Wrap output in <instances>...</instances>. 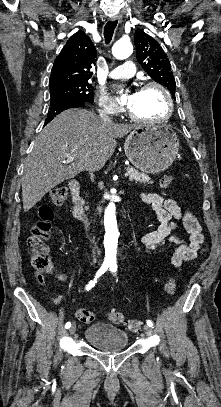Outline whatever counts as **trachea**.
<instances>
[{"label": "trachea", "mask_w": 221, "mask_h": 407, "mask_svg": "<svg viewBox=\"0 0 221 407\" xmlns=\"http://www.w3.org/2000/svg\"><path fill=\"white\" fill-rule=\"evenodd\" d=\"M117 26V20L116 21H108L104 27V38L105 42L108 44L112 40V36L114 33V30Z\"/></svg>", "instance_id": "obj_1"}]
</instances>
